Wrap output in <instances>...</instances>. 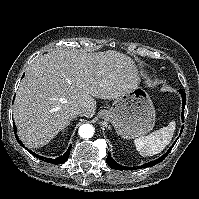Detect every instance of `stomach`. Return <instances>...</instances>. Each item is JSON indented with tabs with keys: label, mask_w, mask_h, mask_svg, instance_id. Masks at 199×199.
<instances>
[{
	"label": "stomach",
	"mask_w": 199,
	"mask_h": 199,
	"mask_svg": "<svg viewBox=\"0 0 199 199\" xmlns=\"http://www.w3.org/2000/svg\"><path fill=\"white\" fill-rule=\"evenodd\" d=\"M105 119L125 139H134L150 132L155 125V109L148 92L136 86L117 96L105 111Z\"/></svg>",
	"instance_id": "stomach-1"
}]
</instances>
